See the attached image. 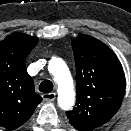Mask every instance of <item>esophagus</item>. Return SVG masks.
I'll list each match as a JSON object with an SVG mask.
<instances>
[{
    "mask_svg": "<svg viewBox=\"0 0 131 131\" xmlns=\"http://www.w3.org/2000/svg\"><path fill=\"white\" fill-rule=\"evenodd\" d=\"M42 98L44 101H54L56 99V93L53 92V93H49V94H43L42 95Z\"/></svg>",
    "mask_w": 131,
    "mask_h": 131,
    "instance_id": "1",
    "label": "esophagus"
}]
</instances>
